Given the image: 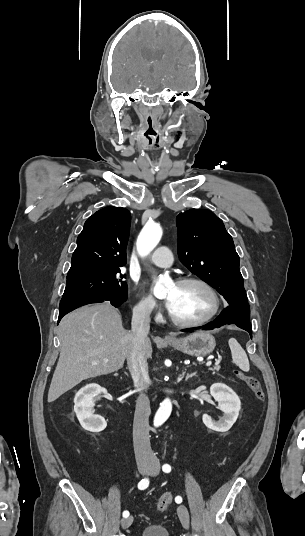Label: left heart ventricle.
I'll list each match as a JSON object with an SVG mask.
<instances>
[{"label": "left heart ventricle", "mask_w": 305, "mask_h": 536, "mask_svg": "<svg viewBox=\"0 0 305 536\" xmlns=\"http://www.w3.org/2000/svg\"><path fill=\"white\" fill-rule=\"evenodd\" d=\"M165 295L171 303L170 309L189 320L206 318L216 306L213 294L199 284L173 285Z\"/></svg>", "instance_id": "b2bd125f"}]
</instances>
